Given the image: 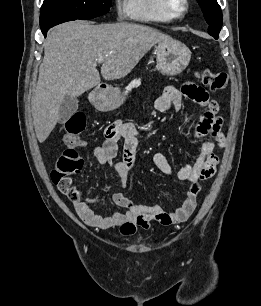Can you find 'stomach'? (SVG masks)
<instances>
[{"mask_svg":"<svg viewBox=\"0 0 261 306\" xmlns=\"http://www.w3.org/2000/svg\"><path fill=\"white\" fill-rule=\"evenodd\" d=\"M190 59V50L180 41H162L156 47L157 69L163 75H179L188 66ZM125 99L119 88L110 87L104 92L95 93L92 103L101 111H110L120 107Z\"/></svg>","mask_w":261,"mask_h":306,"instance_id":"0dacf381","label":"stomach"}]
</instances>
